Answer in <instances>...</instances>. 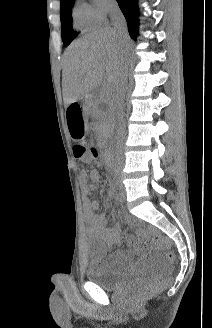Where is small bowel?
Returning a JSON list of instances; mask_svg holds the SVG:
<instances>
[{"label": "small bowel", "instance_id": "obj_1", "mask_svg": "<svg viewBox=\"0 0 212 328\" xmlns=\"http://www.w3.org/2000/svg\"><path fill=\"white\" fill-rule=\"evenodd\" d=\"M80 180L83 215L87 225V235L92 245V259L113 273H125L133 270L136 264L133 262L131 251H115L106 254L107 247L117 245L120 242V226L116 224L111 228L107 227L105 214H97L96 212L99 207V202L91 198L94 187L88 180L93 183H98L100 181V173L96 169L89 172L81 170ZM154 234L153 230L147 233L138 229V241H135L132 236H128L125 238V242L135 251L146 255L151 249L149 236Z\"/></svg>", "mask_w": 212, "mask_h": 328}]
</instances>
